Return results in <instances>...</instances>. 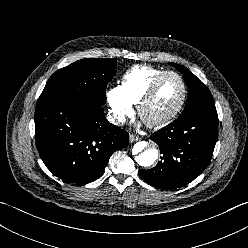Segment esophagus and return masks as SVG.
Here are the masks:
<instances>
[{
	"instance_id": "obj_1",
	"label": "esophagus",
	"mask_w": 248,
	"mask_h": 248,
	"mask_svg": "<svg viewBox=\"0 0 248 248\" xmlns=\"http://www.w3.org/2000/svg\"><path fill=\"white\" fill-rule=\"evenodd\" d=\"M138 140H139V137L138 136L133 135V134H130L129 135V142L130 143H133V142L138 141Z\"/></svg>"
}]
</instances>
